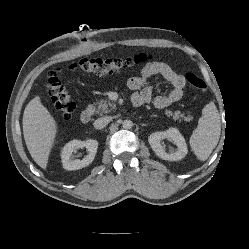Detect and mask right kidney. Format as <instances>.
<instances>
[{"label": "right kidney", "instance_id": "right-kidney-1", "mask_svg": "<svg viewBox=\"0 0 249 249\" xmlns=\"http://www.w3.org/2000/svg\"><path fill=\"white\" fill-rule=\"evenodd\" d=\"M86 148L88 154L82 159H72V153L80 148ZM98 148V142L96 140L88 139L85 141L72 140L67 143L61 153V159L63 168L66 170H78L88 166L95 158Z\"/></svg>", "mask_w": 249, "mask_h": 249}]
</instances>
